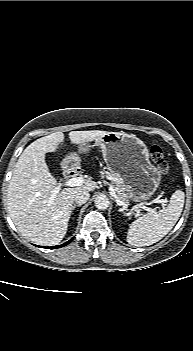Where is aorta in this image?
<instances>
[{
	"label": "aorta",
	"instance_id": "762f6f07",
	"mask_svg": "<svg viewBox=\"0 0 193 351\" xmlns=\"http://www.w3.org/2000/svg\"><path fill=\"white\" fill-rule=\"evenodd\" d=\"M95 206L97 209L106 210L109 207V199L106 195H98L95 198Z\"/></svg>",
	"mask_w": 193,
	"mask_h": 351
}]
</instances>
